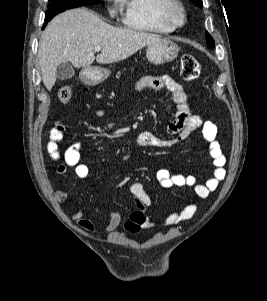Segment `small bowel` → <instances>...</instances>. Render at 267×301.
I'll list each match as a JSON object with an SVG mask.
<instances>
[{
	"label": "small bowel",
	"mask_w": 267,
	"mask_h": 301,
	"mask_svg": "<svg viewBox=\"0 0 267 301\" xmlns=\"http://www.w3.org/2000/svg\"><path fill=\"white\" fill-rule=\"evenodd\" d=\"M152 89L156 91H167L177 107L175 119L170 122L167 131L169 138H159L150 132H141L136 139L140 147L165 148L172 147L185 140L193 131L201 129L204 141L208 146V154L212 159L213 172L212 177L205 183H197L195 177L179 173H172L167 169H160L156 173V179L163 188H178L193 186L195 194L200 199L207 198L212 192L217 190L220 182L226 176V157L223 155L219 142L217 141V125L211 121H204L199 115L193 114L189 110L187 94L184 88L168 75L144 76L136 83V90L143 91ZM102 115V112H98ZM66 125L57 121L49 133L47 150L53 160L63 159V164L57 167V173L64 175L69 168L74 170L75 175L82 180L89 177V168L80 162V153L82 149L81 142H75L69 146L63 155L59 152V143L64 138ZM130 191L137 200V210L134 211L129 219L124 223V229L127 232L135 233L141 229H151L157 225L170 226L176 225L182 221L191 219L197 211V205L191 204L183 209L175 210L161 220H155L145 216L144 212L150 206L151 201L143 185L135 182L131 185ZM67 192L62 189L55 191V198L58 202H64L67 199ZM77 225L87 232L95 230V224L84 217L79 210L71 215ZM121 224V216L118 212L112 211L108 219L102 224V229L106 233L114 232Z\"/></svg>",
	"instance_id": "1"
}]
</instances>
